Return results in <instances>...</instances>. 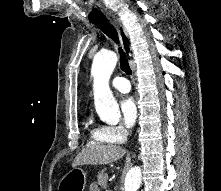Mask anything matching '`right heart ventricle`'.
<instances>
[{
    "label": "right heart ventricle",
    "mask_w": 221,
    "mask_h": 191,
    "mask_svg": "<svg viewBox=\"0 0 221 191\" xmlns=\"http://www.w3.org/2000/svg\"><path fill=\"white\" fill-rule=\"evenodd\" d=\"M91 138L99 143H108L109 142L108 140H106L100 136L99 128H92L91 129Z\"/></svg>",
    "instance_id": "1"
}]
</instances>
